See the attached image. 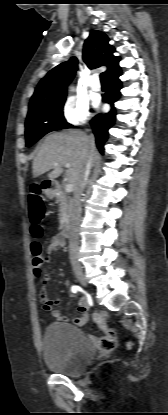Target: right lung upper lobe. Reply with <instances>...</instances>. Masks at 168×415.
Listing matches in <instances>:
<instances>
[{"instance_id": "1", "label": "right lung upper lobe", "mask_w": 168, "mask_h": 415, "mask_svg": "<svg viewBox=\"0 0 168 415\" xmlns=\"http://www.w3.org/2000/svg\"><path fill=\"white\" fill-rule=\"evenodd\" d=\"M114 47L109 38L101 31L92 30L83 46V61L90 69L106 66V74L120 71L119 56H114ZM78 60L72 57L53 68L39 82L30 100L29 110L66 98V89L77 70Z\"/></svg>"}]
</instances>
